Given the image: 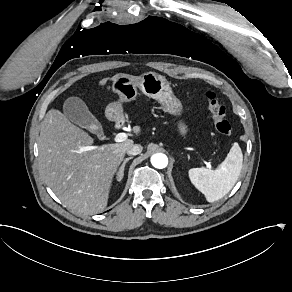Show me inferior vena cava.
<instances>
[{
	"instance_id": "obj_1",
	"label": "inferior vena cava",
	"mask_w": 292,
	"mask_h": 292,
	"mask_svg": "<svg viewBox=\"0 0 292 292\" xmlns=\"http://www.w3.org/2000/svg\"><path fill=\"white\" fill-rule=\"evenodd\" d=\"M143 147L140 144H134L126 150L128 155H138L142 152Z\"/></svg>"
}]
</instances>
